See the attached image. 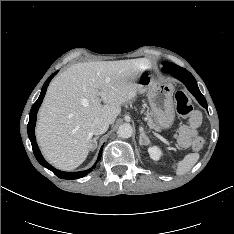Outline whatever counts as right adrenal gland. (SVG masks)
Returning a JSON list of instances; mask_svg holds the SVG:
<instances>
[{"label": "right adrenal gland", "mask_w": 234, "mask_h": 234, "mask_svg": "<svg viewBox=\"0 0 234 234\" xmlns=\"http://www.w3.org/2000/svg\"><path fill=\"white\" fill-rule=\"evenodd\" d=\"M99 136L95 137L93 140L90 142V148L93 150L97 146V139Z\"/></svg>", "instance_id": "right-adrenal-gland-1"}]
</instances>
